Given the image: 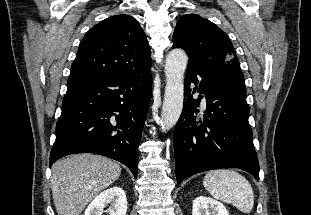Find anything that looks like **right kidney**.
Returning a JSON list of instances; mask_svg holds the SVG:
<instances>
[{"mask_svg":"<svg viewBox=\"0 0 311 215\" xmlns=\"http://www.w3.org/2000/svg\"><path fill=\"white\" fill-rule=\"evenodd\" d=\"M110 207L104 211V208ZM127 199L124 190L118 186L111 187L100 193L85 210L84 215H126Z\"/></svg>","mask_w":311,"mask_h":215,"instance_id":"right-kidney-1","label":"right kidney"}]
</instances>
